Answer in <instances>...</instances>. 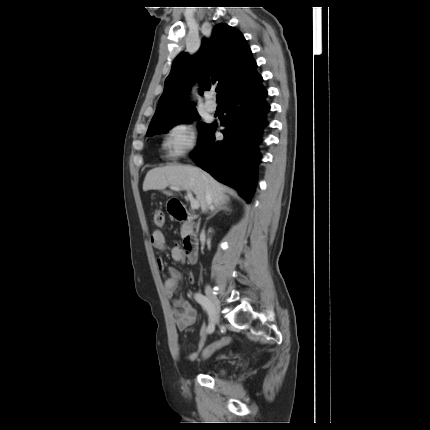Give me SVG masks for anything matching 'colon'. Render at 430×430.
Masks as SVG:
<instances>
[{
  "mask_svg": "<svg viewBox=\"0 0 430 430\" xmlns=\"http://www.w3.org/2000/svg\"><path fill=\"white\" fill-rule=\"evenodd\" d=\"M164 220H165L164 213L160 210H157L154 214V223L157 226H162L164 224ZM229 342H230L229 337H223L220 340H217L211 343L205 348L204 352L202 353V358L207 359L216 349L224 345H227ZM223 357L224 355L219 356V358H223Z\"/></svg>",
  "mask_w": 430,
  "mask_h": 430,
  "instance_id": "5ec220e1",
  "label": "colon"
}]
</instances>
